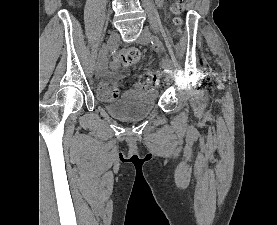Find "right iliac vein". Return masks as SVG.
I'll return each instance as SVG.
<instances>
[{"instance_id": "right-iliac-vein-1", "label": "right iliac vein", "mask_w": 277, "mask_h": 225, "mask_svg": "<svg viewBox=\"0 0 277 225\" xmlns=\"http://www.w3.org/2000/svg\"><path fill=\"white\" fill-rule=\"evenodd\" d=\"M119 41V35L118 33H112L107 41V45H106V50L100 54L96 68H95V75L96 77L99 75V71L100 69L104 66L105 61H106V57H107V53L109 50H111L112 48L115 47V45L118 43Z\"/></svg>"}]
</instances>
